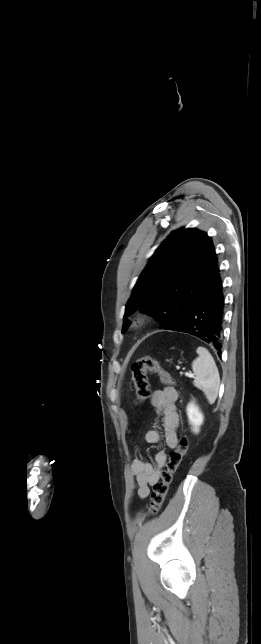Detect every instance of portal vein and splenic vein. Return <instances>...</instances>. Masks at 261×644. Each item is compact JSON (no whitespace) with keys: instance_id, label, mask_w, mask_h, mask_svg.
<instances>
[{"instance_id":"1","label":"portal vein and splenic vein","mask_w":261,"mask_h":644,"mask_svg":"<svg viewBox=\"0 0 261 644\" xmlns=\"http://www.w3.org/2000/svg\"><path fill=\"white\" fill-rule=\"evenodd\" d=\"M185 376H186V377H194V374L186 372V373H185Z\"/></svg>"}]
</instances>
